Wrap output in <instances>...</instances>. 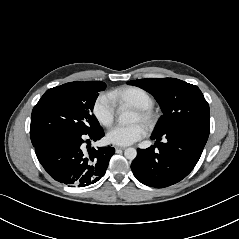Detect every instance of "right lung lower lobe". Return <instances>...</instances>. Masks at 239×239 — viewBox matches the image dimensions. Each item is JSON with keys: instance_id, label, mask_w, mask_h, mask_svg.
Listing matches in <instances>:
<instances>
[{"instance_id": "obj_1", "label": "right lung lower lobe", "mask_w": 239, "mask_h": 239, "mask_svg": "<svg viewBox=\"0 0 239 239\" xmlns=\"http://www.w3.org/2000/svg\"><path fill=\"white\" fill-rule=\"evenodd\" d=\"M103 136L102 127L87 134L58 131L43 136L34 147L39 162L53 179L84 187L104 176L115 152L113 147H91L90 140H100Z\"/></svg>"}]
</instances>
